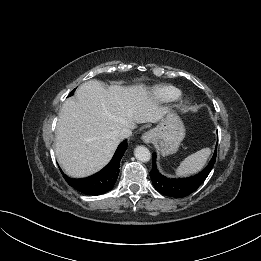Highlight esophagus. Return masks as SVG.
Segmentation results:
<instances>
[{
	"label": "esophagus",
	"mask_w": 261,
	"mask_h": 261,
	"mask_svg": "<svg viewBox=\"0 0 261 261\" xmlns=\"http://www.w3.org/2000/svg\"><path fill=\"white\" fill-rule=\"evenodd\" d=\"M155 137V132L153 130L147 131L142 135V140L145 143H150Z\"/></svg>",
	"instance_id": "esophagus-1"
}]
</instances>
